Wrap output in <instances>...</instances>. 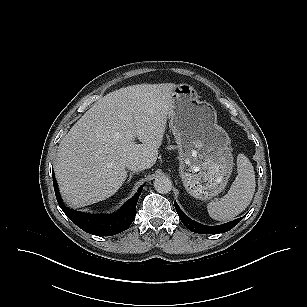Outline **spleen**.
Listing matches in <instances>:
<instances>
[{
  "mask_svg": "<svg viewBox=\"0 0 307 307\" xmlns=\"http://www.w3.org/2000/svg\"><path fill=\"white\" fill-rule=\"evenodd\" d=\"M237 172L228 193L219 201L210 202L207 206L211 218L226 221L243 212L251 203L256 182L254 168L244 154L237 156Z\"/></svg>",
  "mask_w": 307,
  "mask_h": 307,
  "instance_id": "obj_1",
  "label": "spleen"
}]
</instances>
